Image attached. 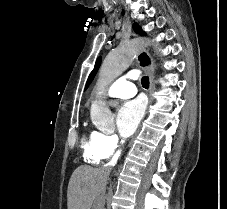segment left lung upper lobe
Returning <instances> with one entry per match:
<instances>
[{"mask_svg":"<svg viewBox=\"0 0 227 209\" xmlns=\"http://www.w3.org/2000/svg\"><path fill=\"white\" fill-rule=\"evenodd\" d=\"M133 29L139 35H146L145 32L136 23L133 25ZM100 63H101V57H99L97 59L96 64H95V67H94V70L91 72V74L88 77V80H87L85 89H87V87L91 83L92 79L94 78V76H95V74H96V72H97V70H98V68L100 66Z\"/></svg>","mask_w":227,"mask_h":209,"instance_id":"obj_1","label":"left lung upper lobe"}]
</instances>
